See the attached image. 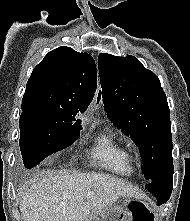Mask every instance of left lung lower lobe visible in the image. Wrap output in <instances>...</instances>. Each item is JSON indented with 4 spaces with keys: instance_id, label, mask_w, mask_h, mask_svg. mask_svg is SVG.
I'll return each mask as SVG.
<instances>
[{
    "instance_id": "0a47b994",
    "label": "left lung lower lobe",
    "mask_w": 190,
    "mask_h": 221,
    "mask_svg": "<svg viewBox=\"0 0 190 221\" xmlns=\"http://www.w3.org/2000/svg\"><path fill=\"white\" fill-rule=\"evenodd\" d=\"M174 169L171 165L164 173H162L156 180L147 184L145 187L158 200L157 205H161L168 201L172 192V177Z\"/></svg>"
}]
</instances>
